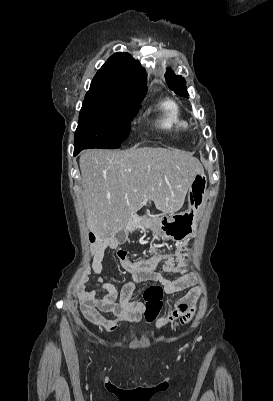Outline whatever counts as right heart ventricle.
Here are the masks:
<instances>
[{"label": "right heart ventricle", "instance_id": "right-heart-ventricle-1", "mask_svg": "<svg viewBox=\"0 0 273 401\" xmlns=\"http://www.w3.org/2000/svg\"><path fill=\"white\" fill-rule=\"evenodd\" d=\"M152 111L156 115L155 126L178 136H187L190 123L182 113L181 105L172 98H162L154 104Z\"/></svg>", "mask_w": 273, "mask_h": 401}]
</instances>
